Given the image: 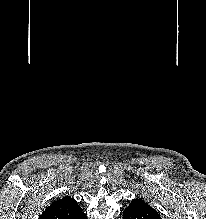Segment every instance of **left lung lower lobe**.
Masks as SVG:
<instances>
[{
    "label": "left lung lower lobe",
    "instance_id": "0a47b994",
    "mask_svg": "<svg viewBox=\"0 0 206 219\" xmlns=\"http://www.w3.org/2000/svg\"><path fill=\"white\" fill-rule=\"evenodd\" d=\"M123 216V219H162L155 209L139 199L132 200Z\"/></svg>",
    "mask_w": 206,
    "mask_h": 219
}]
</instances>
